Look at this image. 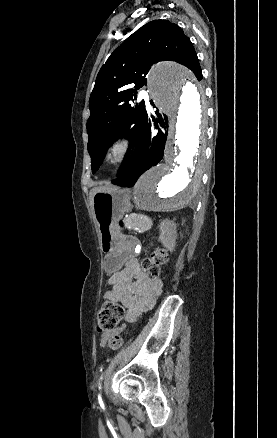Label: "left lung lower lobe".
<instances>
[{"mask_svg":"<svg viewBox=\"0 0 277 438\" xmlns=\"http://www.w3.org/2000/svg\"><path fill=\"white\" fill-rule=\"evenodd\" d=\"M156 115L157 119L154 117L152 119L148 118L147 128L143 133V138L136 153L126 170L112 181L113 184L132 187L140 175L162 160L167 137L168 119L166 115H162L157 111ZM158 122L163 129L158 128Z\"/></svg>","mask_w":277,"mask_h":438,"instance_id":"1","label":"left lung lower lobe"}]
</instances>
